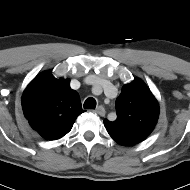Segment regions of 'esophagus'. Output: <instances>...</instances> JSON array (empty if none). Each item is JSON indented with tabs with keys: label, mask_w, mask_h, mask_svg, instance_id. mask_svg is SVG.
<instances>
[{
	"label": "esophagus",
	"mask_w": 190,
	"mask_h": 190,
	"mask_svg": "<svg viewBox=\"0 0 190 190\" xmlns=\"http://www.w3.org/2000/svg\"><path fill=\"white\" fill-rule=\"evenodd\" d=\"M93 112L100 115V116H104L106 113L103 106H98L95 110H93Z\"/></svg>",
	"instance_id": "34e87169"
}]
</instances>
